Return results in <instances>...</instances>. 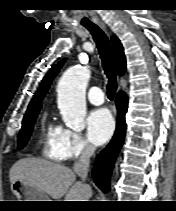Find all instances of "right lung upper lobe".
<instances>
[{
	"label": "right lung upper lobe",
	"instance_id": "obj_1",
	"mask_svg": "<svg viewBox=\"0 0 176 211\" xmlns=\"http://www.w3.org/2000/svg\"><path fill=\"white\" fill-rule=\"evenodd\" d=\"M111 40H112L113 48H114L115 65H116L117 73L118 75H123L126 69V59L124 56L122 44L120 43L119 39L116 36H112ZM64 61L65 59L60 61L46 74L38 91L36 92L35 96L30 102L25 116L39 112L41 108L40 102L42 101L43 97L47 93L48 88L50 84L52 83L53 79L60 71V68L62 67Z\"/></svg>",
	"mask_w": 176,
	"mask_h": 211
}]
</instances>
